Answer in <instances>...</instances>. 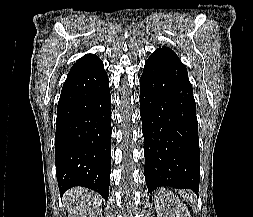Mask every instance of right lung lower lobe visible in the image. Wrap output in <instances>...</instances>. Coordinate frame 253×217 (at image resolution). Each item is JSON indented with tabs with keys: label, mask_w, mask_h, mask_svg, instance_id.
Here are the masks:
<instances>
[{
	"label": "right lung lower lobe",
	"mask_w": 253,
	"mask_h": 217,
	"mask_svg": "<svg viewBox=\"0 0 253 217\" xmlns=\"http://www.w3.org/2000/svg\"><path fill=\"white\" fill-rule=\"evenodd\" d=\"M111 95L101 60L69 72L57 107L56 176L60 193L73 186L106 201L111 172Z\"/></svg>",
	"instance_id": "obj_1"
}]
</instances>
